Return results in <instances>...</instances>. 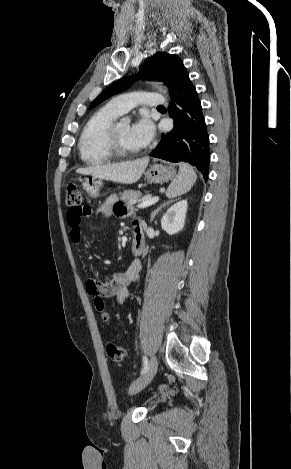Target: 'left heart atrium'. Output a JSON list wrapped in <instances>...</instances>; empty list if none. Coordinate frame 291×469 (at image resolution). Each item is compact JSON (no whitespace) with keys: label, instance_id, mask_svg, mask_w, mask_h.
I'll return each instance as SVG.
<instances>
[{"label":"left heart atrium","instance_id":"1","mask_svg":"<svg viewBox=\"0 0 291 469\" xmlns=\"http://www.w3.org/2000/svg\"><path fill=\"white\" fill-rule=\"evenodd\" d=\"M155 127L147 114H142L131 126V137L140 147H146L154 138Z\"/></svg>","mask_w":291,"mask_h":469}]
</instances>
